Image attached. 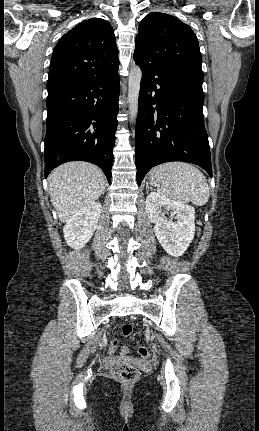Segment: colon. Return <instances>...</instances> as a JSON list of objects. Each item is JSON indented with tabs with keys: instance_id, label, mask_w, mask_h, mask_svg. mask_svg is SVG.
I'll use <instances>...</instances> for the list:
<instances>
[{
	"instance_id": "1",
	"label": "colon",
	"mask_w": 259,
	"mask_h": 431,
	"mask_svg": "<svg viewBox=\"0 0 259 431\" xmlns=\"http://www.w3.org/2000/svg\"><path fill=\"white\" fill-rule=\"evenodd\" d=\"M132 332H133V326L130 323H125L121 326V333L123 336L128 337L132 334ZM117 349H118L117 340H112L110 351L115 352ZM120 351L122 354H126L128 352V348L124 346L121 348ZM138 353L143 358H149L151 355L150 350L145 346L139 347ZM111 373L115 379L122 382H132L136 380L139 376L138 369L132 364L125 361L115 362L112 365Z\"/></svg>"
}]
</instances>
